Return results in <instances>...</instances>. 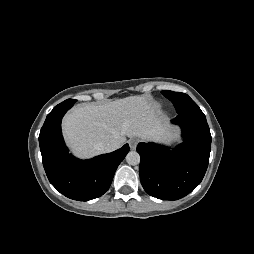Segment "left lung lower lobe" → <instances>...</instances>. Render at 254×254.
<instances>
[{"label":"left lung lower lobe","instance_id":"0a47b994","mask_svg":"<svg viewBox=\"0 0 254 254\" xmlns=\"http://www.w3.org/2000/svg\"><path fill=\"white\" fill-rule=\"evenodd\" d=\"M183 142L173 150L155 143H139V174L144 190L162 200H178L193 191L208 167L211 134L205 116L178 115Z\"/></svg>","mask_w":254,"mask_h":254}]
</instances>
